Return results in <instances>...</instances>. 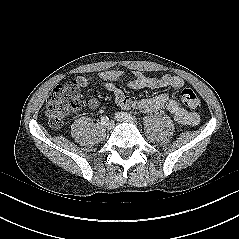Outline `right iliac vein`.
<instances>
[{"instance_id": "63e3f726", "label": "right iliac vein", "mask_w": 239, "mask_h": 239, "mask_svg": "<svg viewBox=\"0 0 239 239\" xmlns=\"http://www.w3.org/2000/svg\"><path fill=\"white\" fill-rule=\"evenodd\" d=\"M111 123H113V124H111ZM104 126H105L106 129L111 130L114 127V122L110 120L109 123H108V121H107L104 124Z\"/></svg>"}]
</instances>
